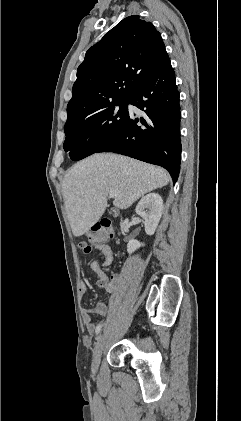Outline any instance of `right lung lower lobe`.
<instances>
[{
	"label": "right lung lower lobe",
	"instance_id": "98d812e1",
	"mask_svg": "<svg viewBox=\"0 0 241 421\" xmlns=\"http://www.w3.org/2000/svg\"><path fill=\"white\" fill-rule=\"evenodd\" d=\"M175 73L169 57L128 99L145 112V119L129 115L126 125L97 152H115L166 168L177 181L180 170V105ZM140 121L144 126L140 127Z\"/></svg>",
	"mask_w": 241,
	"mask_h": 421
}]
</instances>
